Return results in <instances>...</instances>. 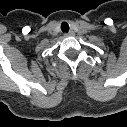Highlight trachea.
<instances>
[{"label": "trachea", "mask_w": 127, "mask_h": 127, "mask_svg": "<svg viewBox=\"0 0 127 127\" xmlns=\"http://www.w3.org/2000/svg\"><path fill=\"white\" fill-rule=\"evenodd\" d=\"M61 30H62L63 33H68V31H69V25H68L67 22H63L61 24Z\"/></svg>", "instance_id": "1"}]
</instances>
